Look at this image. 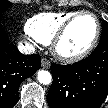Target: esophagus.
<instances>
[{"instance_id": "obj_1", "label": "esophagus", "mask_w": 108, "mask_h": 108, "mask_svg": "<svg viewBox=\"0 0 108 108\" xmlns=\"http://www.w3.org/2000/svg\"><path fill=\"white\" fill-rule=\"evenodd\" d=\"M41 66L44 68V69H48L50 67V62L49 60H47L46 58H42L41 59Z\"/></svg>"}]
</instances>
